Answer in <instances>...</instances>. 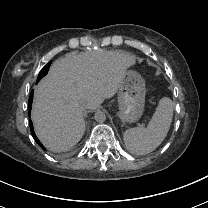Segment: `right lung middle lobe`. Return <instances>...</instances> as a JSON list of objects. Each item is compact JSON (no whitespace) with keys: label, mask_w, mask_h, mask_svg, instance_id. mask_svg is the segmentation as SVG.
<instances>
[{"label":"right lung middle lobe","mask_w":208,"mask_h":208,"mask_svg":"<svg viewBox=\"0 0 208 208\" xmlns=\"http://www.w3.org/2000/svg\"><path fill=\"white\" fill-rule=\"evenodd\" d=\"M46 74L45 66L38 75L37 82Z\"/></svg>","instance_id":"obj_1"}]
</instances>
